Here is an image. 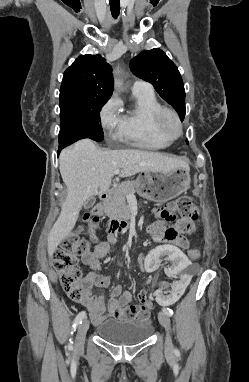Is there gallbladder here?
Masks as SVG:
<instances>
[{"label":"gallbladder","mask_w":249,"mask_h":382,"mask_svg":"<svg viewBox=\"0 0 249 382\" xmlns=\"http://www.w3.org/2000/svg\"><path fill=\"white\" fill-rule=\"evenodd\" d=\"M96 202V199L94 197L86 200V202L84 203V209H91L94 204Z\"/></svg>","instance_id":"bac80fb5"}]
</instances>
